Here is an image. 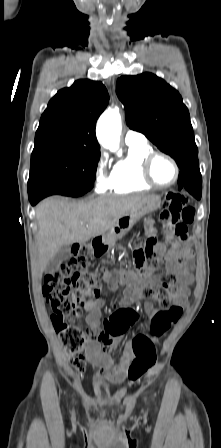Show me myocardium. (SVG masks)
I'll return each instance as SVG.
<instances>
[{
    "label": "myocardium",
    "instance_id": "1",
    "mask_svg": "<svg viewBox=\"0 0 221 448\" xmlns=\"http://www.w3.org/2000/svg\"><path fill=\"white\" fill-rule=\"evenodd\" d=\"M158 157L166 158L167 160H169L171 162V164L175 168V171H176L175 178L173 179L172 182H170L168 184L159 183L158 181H156V179L153 176V173H152L153 163ZM180 173H181V169H180L178 162L168 153L161 152V151H152L143 159V162H142L143 180L153 187L164 189V188H169V187L175 185L179 180Z\"/></svg>",
    "mask_w": 221,
    "mask_h": 448
}]
</instances>
